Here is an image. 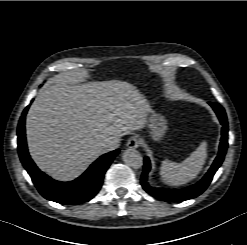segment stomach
Here are the masks:
<instances>
[{
    "label": "stomach",
    "instance_id": "stomach-1",
    "mask_svg": "<svg viewBox=\"0 0 247 245\" xmlns=\"http://www.w3.org/2000/svg\"><path fill=\"white\" fill-rule=\"evenodd\" d=\"M148 127L152 140L156 143H161L168 130V122L165 116L152 111L148 121Z\"/></svg>",
    "mask_w": 247,
    "mask_h": 245
}]
</instances>
